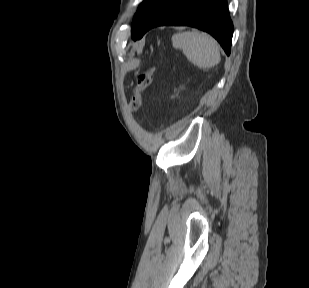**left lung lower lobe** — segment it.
<instances>
[{
    "mask_svg": "<svg viewBox=\"0 0 309 288\" xmlns=\"http://www.w3.org/2000/svg\"><path fill=\"white\" fill-rule=\"evenodd\" d=\"M192 26L210 33L230 54L233 24L226 0H160L132 36L140 39L156 26Z\"/></svg>",
    "mask_w": 309,
    "mask_h": 288,
    "instance_id": "1",
    "label": "left lung lower lobe"
}]
</instances>
